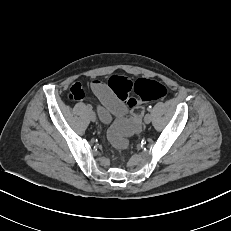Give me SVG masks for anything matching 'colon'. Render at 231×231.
<instances>
[{
    "label": "colon",
    "mask_w": 231,
    "mask_h": 231,
    "mask_svg": "<svg viewBox=\"0 0 231 231\" xmlns=\"http://www.w3.org/2000/svg\"><path fill=\"white\" fill-rule=\"evenodd\" d=\"M110 90L131 109V116L127 121L113 126L109 133L110 143L121 150H127L129 142L127 136L140 128L143 110L140 104L147 101L159 100L166 97V86L151 79H132L127 76H112L109 79Z\"/></svg>",
    "instance_id": "1"
}]
</instances>
